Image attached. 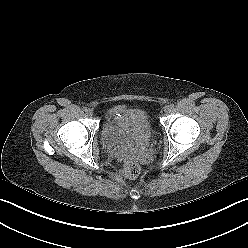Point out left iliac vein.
<instances>
[{"mask_svg": "<svg viewBox=\"0 0 248 248\" xmlns=\"http://www.w3.org/2000/svg\"><path fill=\"white\" fill-rule=\"evenodd\" d=\"M163 110H164V112H165L166 114H167V113H170L171 107H170L169 105H166V106H164Z\"/></svg>", "mask_w": 248, "mask_h": 248, "instance_id": "left-iliac-vein-1", "label": "left iliac vein"}]
</instances>
